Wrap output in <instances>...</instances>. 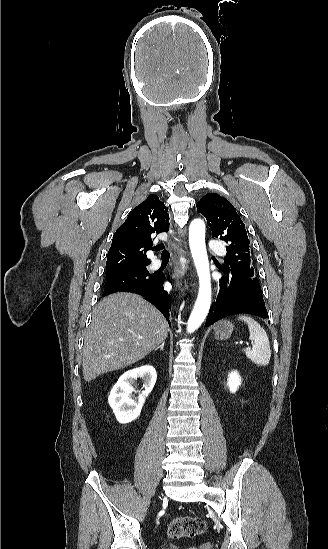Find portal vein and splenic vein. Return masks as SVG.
<instances>
[{
    "label": "portal vein and splenic vein",
    "mask_w": 328,
    "mask_h": 549,
    "mask_svg": "<svg viewBox=\"0 0 328 549\" xmlns=\"http://www.w3.org/2000/svg\"><path fill=\"white\" fill-rule=\"evenodd\" d=\"M243 341H240V345H242Z\"/></svg>",
    "instance_id": "portal-vein-and-splenic-vein-1"
}]
</instances>
